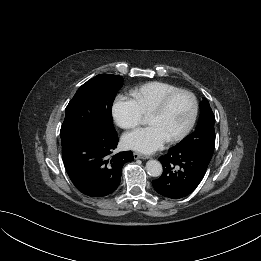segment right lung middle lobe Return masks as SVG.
Here are the masks:
<instances>
[{"mask_svg":"<svg viewBox=\"0 0 261 261\" xmlns=\"http://www.w3.org/2000/svg\"><path fill=\"white\" fill-rule=\"evenodd\" d=\"M123 81L121 76L100 74L77 90L65 109L60 130L62 143L80 134L116 132L112 104Z\"/></svg>","mask_w":261,"mask_h":261,"instance_id":"right-lung-middle-lobe-1","label":"right lung middle lobe"}]
</instances>
